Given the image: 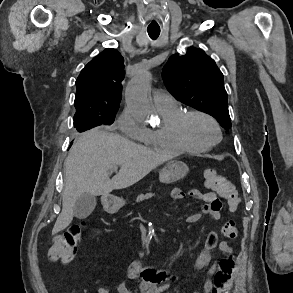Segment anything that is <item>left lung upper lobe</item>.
Listing matches in <instances>:
<instances>
[{
	"mask_svg": "<svg viewBox=\"0 0 293 293\" xmlns=\"http://www.w3.org/2000/svg\"><path fill=\"white\" fill-rule=\"evenodd\" d=\"M162 77L179 101L210 114L225 129L231 127L223 74L204 51L189 48L185 55H172Z\"/></svg>",
	"mask_w": 293,
	"mask_h": 293,
	"instance_id": "1",
	"label": "left lung upper lobe"
}]
</instances>
